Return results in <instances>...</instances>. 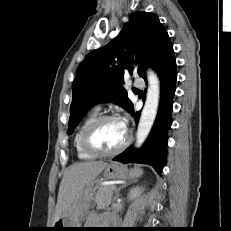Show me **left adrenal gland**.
<instances>
[{
	"label": "left adrenal gland",
	"mask_w": 231,
	"mask_h": 231,
	"mask_svg": "<svg viewBox=\"0 0 231 231\" xmlns=\"http://www.w3.org/2000/svg\"><path fill=\"white\" fill-rule=\"evenodd\" d=\"M135 182H137V180H130L128 183H126V184L120 186V187L117 189V191H116V197L119 196V191H120L121 189H123V188H125L126 186H128V185H130V184H132V183H135Z\"/></svg>",
	"instance_id": "left-adrenal-gland-1"
}]
</instances>
